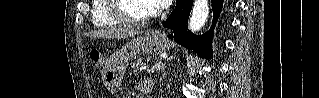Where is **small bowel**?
<instances>
[{
    "mask_svg": "<svg viewBox=\"0 0 319 98\" xmlns=\"http://www.w3.org/2000/svg\"><path fill=\"white\" fill-rule=\"evenodd\" d=\"M151 82L149 80H143L137 84L138 88L143 91L147 92L150 89Z\"/></svg>",
    "mask_w": 319,
    "mask_h": 98,
    "instance_id": "obj_1",
    "label": "small bowel"
}]
</instances>
